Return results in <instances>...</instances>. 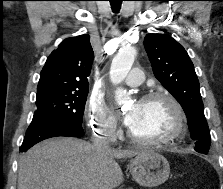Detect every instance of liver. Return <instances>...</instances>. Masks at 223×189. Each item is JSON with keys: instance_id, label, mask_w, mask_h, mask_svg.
Returning a JSON list of instances; mask_svg holds the SVG:
<instances>
[{"instance_id": "liver-1", "label": "liver", "mask_w": 223, "mask_h": 189, "mask_svg": "<svg viewBox=\"0 0 223 189\" xmlns=\"http://www.w3.org/2000/svg\"><path fill=\"white\" fill-rule=\"evenodd\" d=\"M142 151L108 148L97 151L75 138H53L29 149L20 159L18 189H113L123 182L115 158Z\"/></svg>"}]
</instances>
